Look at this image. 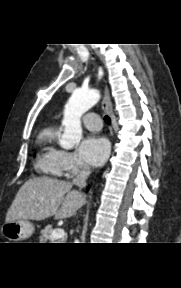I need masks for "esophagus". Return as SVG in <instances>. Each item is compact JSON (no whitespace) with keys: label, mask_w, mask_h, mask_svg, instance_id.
<instances>
[{"label":"esophagus","mask_w":181,"mask_h":288,"mask_svg":"<svg viewBox=\"0 0 181 288\" xmlns=\"http://www.w3.org/2000/svg\"><path fill=\"white\" fill-rule=\"evenodd\" d=\"M102 109L111 117L112 124L114 125L115 120H114V114H113V109H112V102L110 98L109 89L107 86H105V89H104Z\"/></svg>","instance_id":"esophagus-1"}]
</instances>
